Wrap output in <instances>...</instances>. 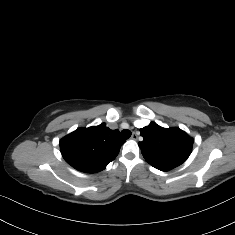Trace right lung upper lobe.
<instances>
[{
    "label": "right lung upper lobe",
    "instance_id": "cb5924a9",
    "mask_svg": "<svg viewBox=\"0 0 235 235\" xmlns=\"http://www.w3.org/2000/svg\"><path fill=\"white\" fill-rule=\"evenodd\" d=\"M125 141L119 131L111 130L105 123L89 128H78L60 140V150L65 161L78 171L97 173L114 160Z\"/></svg>",
    "mask_w": 235,
    "mask_h": 235
}]
</instances>
